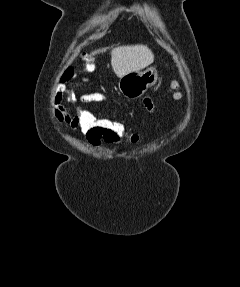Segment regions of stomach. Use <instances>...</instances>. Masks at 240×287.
I'll return each instance as SVG.
<instances>
[{"label":"stomach","mask_w":240,"mask_h":287,"mask_svg":"<svg viewBox=\"0 0 240 287\" xmlns=\"http://www.w3.org/2000/svg\"><path fill=\"white\" fill-rule=\"evenodd\" d=\"M158 80V71L155 67L147 68L145 71L130 72L119 80V91L127 99L141 97Z\"/></svg>","instance_id":"1"}]
</instances>
